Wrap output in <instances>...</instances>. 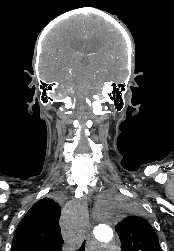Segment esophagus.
I'll use <instances>...</instances> for the list:
<instances>
[{
	"label": "esophagus",
	"instance_id": "obj_1",
	"mask_svg": "<svg viewBox=\"0 0 174 251\" xmlns=\"http://www.w3.org/2000/svg\"><path fill=\"white\" fill-rule=\"evenodd\" d=\"M81 214H82L83 230L87 234V236L90 237L91 236V225H90V221H89L88 205H87L86 201L84 202V204L82 206Z\"/></svg>",
	"mask_w": 174,
	"mask_h": 251
}]
</instances>
